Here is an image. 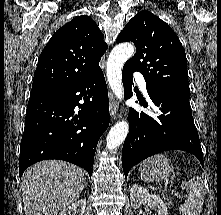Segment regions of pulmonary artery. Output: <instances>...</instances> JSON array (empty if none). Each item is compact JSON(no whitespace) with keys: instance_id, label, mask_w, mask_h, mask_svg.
Wrapping results in <instances>:
<instances>
[{"instance_id":"pulmonary-artery-1","label":"pulmonary artery","mask_w":221,"mask_h":215,"mask_svg":"<svg viewBox=\"0 0 221 215\" xmlns=\"http://www.w3.org/2000/svg\"><path fill=\"white\" fill-rule=\"evenodd\" d=\"M134 76L139 84L141 91L146 94L147 89H146V82H145L144 78L142 77V75L139 72H135Z\"/></svg>"}]
</instances>
